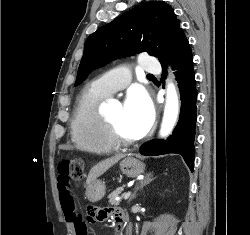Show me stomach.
Masks as SVG:
<instances>
[{"instance_id":"obj_1","label":"stomach","mask_w":250,"mask_h":235,"mask_svg":"<svg viewBox=\"0 0 250 235\" xmlns=\"http://www.w3.org/2000/svg\"><path fill=\"white\" fill-rule=\"evenodd\" d=\"M120 168L127 177H137L145 170L142 162L133 157H126L120 162ZM105 194V184L101 180H94L87 187L86 195L91 202H97L103 198Z\"/></svg>"}]
</instances>
